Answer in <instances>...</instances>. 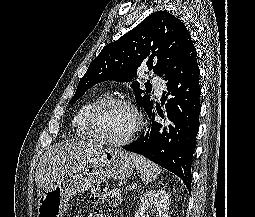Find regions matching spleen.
I'll use <instances>...</instances> for the list:
<instances>
[{
	"instance_id": "spleen-1",
	"label": "spleen",
	"mask_w": 255,
	"mask_h": 217,
	"mask_svg": "<svg viewBox=\"0 0 255 217\" xmlns=\"http://www.w3.org/2000/svg\"><path fill=\"white\" fill-rule=\"evenodd\" d=\"M132 161L134 162L137 170L141 173V180L144 183L151 182L155 180L160 173V167L154 162L148 160L147 158L137 155L130 154Z\"/></svg>"
}]
</instances>
